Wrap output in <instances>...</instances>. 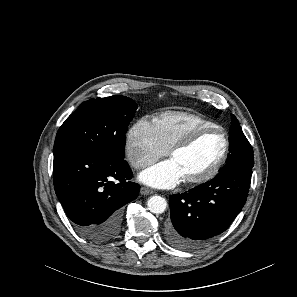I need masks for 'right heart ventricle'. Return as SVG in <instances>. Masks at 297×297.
Returning a JSON list of instances; mask_svg holds the SVG:
<instances>
[{
  "label": "right heart ventricle",
  "instance_id": "1",
  "mask_svg": "<svg viewBox=\"0 0 297 297\" xmlns=\"http://www.w3.org/2000/svg\"><path fill=\"white\" fill-rule=\"evenodd\" d=\"M153 126L159 142L169 150L190 131L216 124L198 114L185 111H168L153 119Z\"/></svg>",
  "mask_w": 297,
  "mask_h": 297
}]
</instances>
